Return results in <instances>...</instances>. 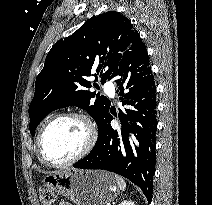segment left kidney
<instances>
[{
    "label": "left kidney",
    "instance_id": "left-kidney-1",
    "mask_svg": "<svg viewBox=\"0 0 212 205\" xmlns=\"http://www.w3.org/2000/svg\"><path fill=\"white\" fill-rule=\"evenodd\" d=\"M119 205H135V204L131 200H125V201L121 202Z\"/></svg>",
    "mask_w": 212,
    "mask_h": 205
}]
</instances>
